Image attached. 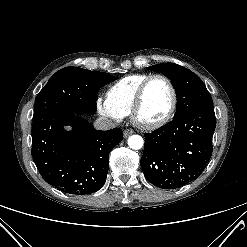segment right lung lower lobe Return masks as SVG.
<instances>
[{"mask_svg":"<svg viewBox=\"0 0 247 247\" xmlns=\"http://www.w3.org/2000/svg\"><path fill=\"white\" fill-rule=\"evenodd\" d=\"M79 116L69 110H52L34 117L32 125L31 154L40 174L73 195L90 194L104 185L109 153L123 138L121 129L95 130Z\"/></svg>","mask_w":247,"mask_h":247,"instance_id":"1","label":"right lung lower lobe"}]
</instances>
